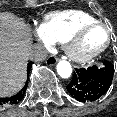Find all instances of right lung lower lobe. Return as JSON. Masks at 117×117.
<instances>
[{"instance_id": "right-lung-lower-lobe-1", "label": "right lung lower lobe", "mask_w": 117, "mask_h": 117, "mask_svg": "<svg viewBox=\"0 0 117 117\" xmlns=\"http://www.w3.org/2000/svg\"><path fill=\"white\" fill-rule=\"evenodd\" d=\"M31 67H32V62L28 63V66H27L28 73L30 72ZM26 89H27V83L22 88V90L19 91L16 95L12 97L0 98V106L13 105V104L19 103L23 99Z\"/></svg>"}]
</instances>
